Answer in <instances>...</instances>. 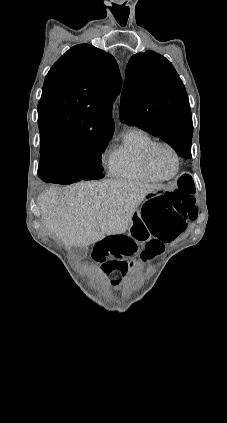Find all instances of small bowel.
I'll list each match as a JSON object with an SVG mask.
<instances>
[{"instance_id": "small-bowel-1", "label": "small bowel", "mask_w": 227, "mask_h": 423, "mask_svg": "<svg viewBox=\"0 0 227 423\" xmlns=\"http://www.w3.org/2000/svg\"><path fill=\"white\" fill-rule=\"evenodd\" d=\"M134 224H138L140 225L145 231V237L143 240L141 241H137V242H155L158 245V249L159 252H162V250L164 249V243L162 241H160L159 239H157L156 237H154L153 235H151V233L149 232V230L147 229V225L145 224V222L139 217L134 221ZM133 224V225H134Z\"/></svg>"}]
</instances>
